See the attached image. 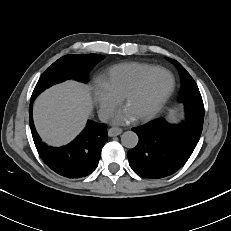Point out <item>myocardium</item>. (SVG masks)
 Segmentation results:
<instances>
[{
	"label": "myocardium",
	"mask_w": 231,
	"mask_h": 231,
	"mask_svg": "<svg viewBox=\"0 0 231 231\" xmlns=\"http://www.w3.org/2000/svg\"><path fill=\"white\" fill-rule=\"evenodd\" d=\"M160 73H167L170 75L171 77V86L170 89L168 90V92L165 94V96L161 99V101L159 102V104L156 106V108H154L151 112L139 116L137 117V119L139 121H149L153 118H155L158 114L161 113V111L165 108V106L167 105V103L169 102V100L171 99L175 88H176V80L175 77L173 75V73L167 69L164 68H159L151 73H149L148 75H146L145 77H143L140 81H138L131 89L128 90V92L124 95L122 101L124 104L127 103V101L134 96L135 94H137L139 91H141L150 80H152L155 76H157Z\"/></svg>",
	"instance_id": "myocardium-1"
}]
</instances>
